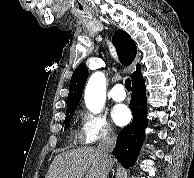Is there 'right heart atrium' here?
I'll list each match as a JSON object with an SVG mask.
<instances>
[{
    "label": "right heart atrium",
    "instance_id": "obj_1",
    "mask_svg": "<svg viewBox=\"0 0 194 178\" xmlns=\"http://www.w3.org/2000/svg\"><path fill=\"white\" fill-rule=\"evenodd\" d=\"M114 138L115 132L103 115L88 110L79 112V128L75 135L78 144L90 146Z\"/></svg>",
    "mask_w": 194,
    "mask_h": 178
}]
</instances>
